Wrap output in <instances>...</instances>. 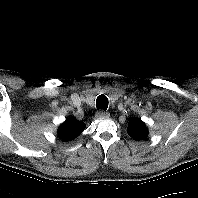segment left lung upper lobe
<instances>
[{
    "label": "left lung upper lobe",
    "mask_w": 198,
    "mask_h": 198,
    "mask_svg": "<svg viewBox=\"0 0 198 198\" xmlns=\"http://www.w3.org/2000/svg\"><path fill=\"white\" fill-rule=\"evenodd\" d=\"M127 132L134 140H144L148 136V129L139 118H134L129 122Z\"/></svg>",
    "instance_id": "1"
}]
</instances>
